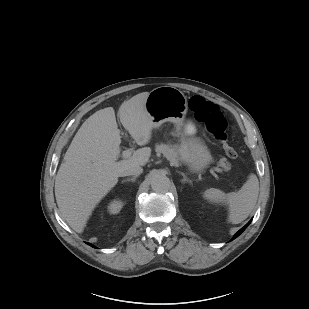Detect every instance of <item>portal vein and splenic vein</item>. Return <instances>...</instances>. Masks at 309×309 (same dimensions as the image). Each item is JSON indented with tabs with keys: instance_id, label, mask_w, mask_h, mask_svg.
<instances>
[{
	"instance_id": "18ae733b",
	"label": "portal vein and splenic vein",
	"mask_w": 309,
	"mask_h": 309,
	"mask_svg": "<svg viewBox=\"0 0 309 309\" xmlns=\"http://www.w3.org/2000/svg\"><path fill=\"white\" fill-rule=\"evenodd\" d=\"M130 155H131V152L129 150H125V151L122 152V156L124 158L130 157ZM212 170L217 172V173H222V169H220L218 167H213Z\"/></svg>"
}]
</instances>
